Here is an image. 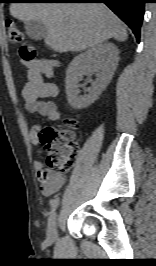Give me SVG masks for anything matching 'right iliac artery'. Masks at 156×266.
<instances>
[{
	"mask_svg": "<svg viewBox=\"0 0 156 266\" xmlns=\"http://www.w3.org/2000/svg\"><path fill=\"white\" fill-rule=\"evenodd\" d=\"M58 203H59V198H55L51 201V213H53L56 210Z\"/></svg>",
	"mask_w": 156,
	"mask_h": 266,
	"instance_id": "right-iliac-artery-1",
	"label": "right iliac artery"
}]
</instances>
